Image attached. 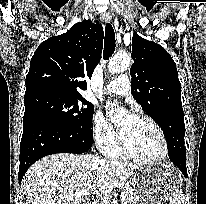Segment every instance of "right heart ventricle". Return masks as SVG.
Segmentation results:
<instances>
[{
  "instance_id": "1",
  "label": "right heart ventricle",
  "mask_w": 206,
  "mask_h": 204,
  "mask_svg": "<svg viewBox=\"0 0 206 204\" xmlns=\"http://www.w3.org/2000/svg\"><path fill=\"white\" fill-rule=\"evenodd\" d=\"M112 157H122V152L120 151L119 146L116 144L109 152Z\"/></svg>"
}]
</instances>
